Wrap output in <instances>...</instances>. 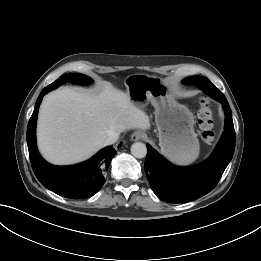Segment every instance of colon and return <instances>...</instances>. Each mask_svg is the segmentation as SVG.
Masks as SVG:
<instances>
[{
  "instance_id": "colon-1",
  "label": "colon",
  "mask_w": 261,
  "mask_h": 261,
  "mask_svg": "<svg viewBox=\"0 0 261 261\" xmlns=\"http://www.w3.org/2000/svg\"><path fill=\"white\" fill-rule=\"evenodd\" d=\"M197 120L202 132V136L206 140L214 137V113L207 99H201L199 109L197 111Z\"/></svg>"
}]
</instances>
